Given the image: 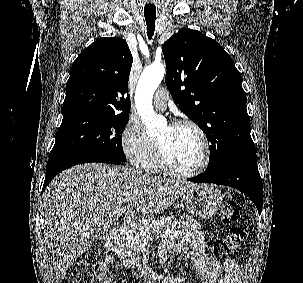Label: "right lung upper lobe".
Segmentation results:
<instances>
[{
    "instance_id": "cb5924a9",
    "label": "right lung upper lobe",
    "mask_w": 303,
    "mask_h": 283,
    "mask_svg": "<svg viewBox=\"0 0 303 283\" xmlns=\"http://www.w3.org/2000/svg\"><path fill=\"white\" fill-rule=\"evenodd\" d=\"M132 54L119 37L100 38L74 61L66 83L63 117L78 113L129 117Z\"/></svg>"
}]
</instances>
